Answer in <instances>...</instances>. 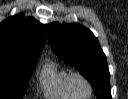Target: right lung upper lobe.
<instances>
[{
	"mask_svg": "<svg viewBox=\"0 0 128 99\" xmlns=\"http://www.w3.org/2000/svg\"><path fill=\"white\" fill-rule=\"evenodd\" d=\"M45 40V26L22 13L0 24V55L39 56Z\"/></svg>",
	"mask_w": 128,
	"mask_h": 99,
	"instance_id": "cb5924a9",
	"label": "right lung upper lobe"
}]
</instances>
